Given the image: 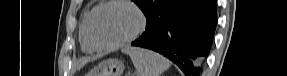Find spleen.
Returning a JSON list of instances; mask_svg holds the SVG:
<instances>
[{
  "instance_id": "1",
  "label": "spleen",
  "mask_w": 287,
  "mask_h": 76,
  "mask_svg": "<svg viewBox=\"0 0 287 76\" xmlns=\"http://www.w3.org/2000/svg\"><path fill=\"white\" fill-rule=\"evenodd\" d=\"M122 52L128 54L137 70V76H160L170 67V61L148 49L126 47Z\"/></svg>"
}]
</instances>
